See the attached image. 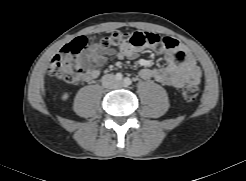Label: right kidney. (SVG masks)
Returning a JSON list of instances; mask_svg holds the SVG:
<instances>
[{
	"mask_svg": "<svg viewBox=\"0 0 246 181\" xmlns=\"http://www.w3.org/2000/svg\"><path fill=\"white\" fill-rule=\"evenodd\" d=\"M61 98H62L63 101H66L69 98V94L68 93H64Z\"/></svg>",
	"mask_w": 246,
	"mask_h": 181,
	"instance_id": "1",
	"label": "right kidney"
}]
</instances>
